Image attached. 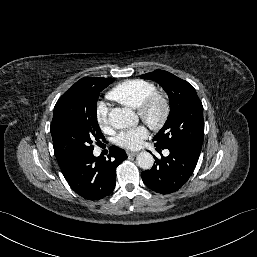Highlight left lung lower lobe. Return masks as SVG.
<instances>
[{"instance_id":"1","label":"left lung lower lobe","mask_w":257,"mask_h":257,"mask_svg":"<svg viewBox=\"0 0 257 257\" xmlns=\"http://www.w3.org/2000/svg\"><path fill=\"white\" fill-rule=\"evenodd\" d=\"M169 156L155 160L152 169L143 171L141 176L151 190L169 194L180 189L192 175L200 153L181 147H169Z\"/></svg>"}]
</instances>
